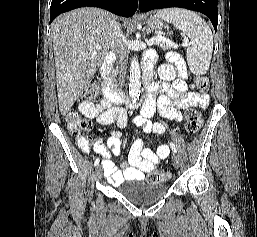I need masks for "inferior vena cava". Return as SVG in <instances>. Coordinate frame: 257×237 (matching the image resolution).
Segmentation results:
<instances>
[{"instance_id":"obj_1","label":"inferior vena cava","mask_w":257,"mask_h":237,"mask_svg":"<svg viewBox=\"0 0 257 237\" xmlns=\"http://www.w3.org/2000/svg\"><path fill=\"white\" fill-rule=\"evenodd\" d=\"M112 28H113V31H112L110 46L118 59V63L120 67L119 83H120V86L122 87L125 83V78H126L125 75H126L127 59H128L129 51L126 46V38L123 35V32L121 31V28L117 24L116 20L112 21Z\"/></svg>"}]
</instances>
